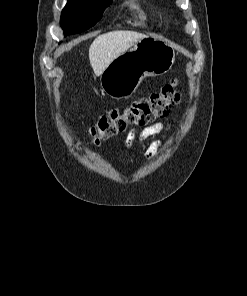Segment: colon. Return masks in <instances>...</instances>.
Here are the masks:
<instances>
[{"mask_svg": "<svg viewBox=\"0 0 247 296\" xmlns=\"http://www.w3.org/2000/svg\"><path fill=\"white\" fill-rule=\"evenodd\" d=\"M179 85L176 79L146 97L133 101L123 109H112L100 117L89 129L93 145L124 131L129 125L142 126L164 118L179 100Z\"/></svg>", "mask_w": 247, "mask_h": 296, "instance_id": "1", "label": "colon"}]
</instances>
